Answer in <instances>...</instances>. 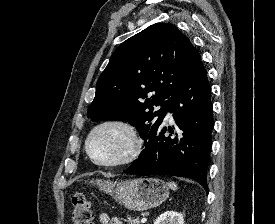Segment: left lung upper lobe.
Instances as JSON below:
<instances>
[{"label":"left lung upper lobe","instance_id":"1","mask_svg":"<svg viewBox=\"0 0 275 224\" xmlns=\"http://www.w3.org/2000/svg\"><path fill=\"white\" fill-rule=\"evenodd\" d=\"M202 66L200 54L176 26L153 24L114 51L87 116L128 121L146 141L163 122L169 99ZM154 106L161 108L154 112Z\"/></svg>","mask_w":275,"mask_h":224}]
</instances>
